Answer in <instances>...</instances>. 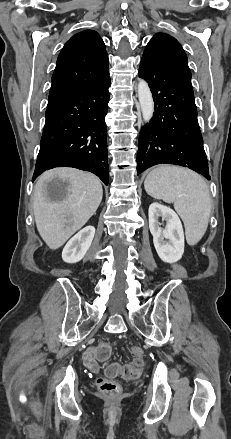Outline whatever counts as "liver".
Wrapping results in <instances>:
<instances>
[{"instance_id":"6515ba94","label":"liver","mask_w":231,"mask_h":439,"mask_svg":"<svg viewBox=\"0 0 231 439\" xmlns=\"http://www.w3.org/2000/svg\"><path fill=\"white\" fill-rule=\"evenodd\" d=\"M57 178L66 182L60 196L52 195L48 186ZM102 196L101 181L91 173L67 167L45 171L34 187L33 210L37 230L47 246L58 249L82 228Z\"/></svg>"}]
</instances>
